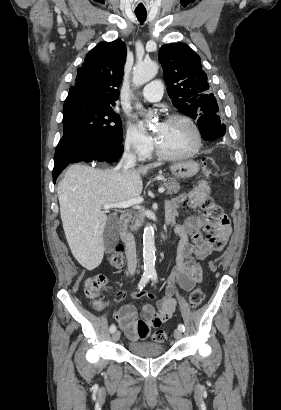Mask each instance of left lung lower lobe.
<instances>
[{"instance_id":"left-lung-lower-lobe-1","label":"left lung lower lobe","mask_w":281,"mask_h":410,"mask_svg":"<svg viewBox=\"0 0 281 410\" xmlns=\"http://www.w3.org/2000/svg\"><path fill=\"white\" fill-rule=\"evenodd\" d=\"M198 127L205 141H213L225 134V125L216 114H203L197 121Z\"/></svg>"}]
</instances>
